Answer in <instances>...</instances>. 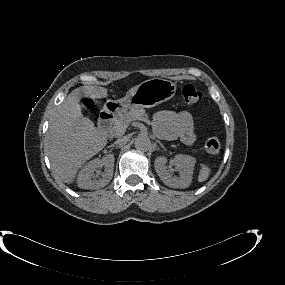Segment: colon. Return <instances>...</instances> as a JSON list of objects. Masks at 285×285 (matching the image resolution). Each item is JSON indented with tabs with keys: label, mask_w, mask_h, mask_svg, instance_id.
I'll return each instance as SVG.
<instances>
[{
	"label": "colon",
	"mask_w": 285,
	"mask_h": 285,
	"mask_svg": "<svg viewBox=\"0 0 285 285\" xmlns=\"http://www.w3.org/2000/svg\"><path fill=\"white\" fill-rule=\"evenodd\" d=\"M183 99L188 105H196L202 99V93L199 89L193 85H186L182 90ZM87 106H91L92 102L90 100L86 101ZM221 147L220 140L217 137H209L205 141V149L210 154H215L219 152Z\"/></svg>",
	"instance_id": "colon-1"
}]
</instances>
